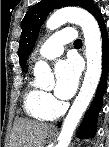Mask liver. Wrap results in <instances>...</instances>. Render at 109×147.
Returning a JSON list of instances; mask_svg holds the SVG:
<instances>
[{
  "label": "liver",
  "mask_w": 109,
  "mask_h": 147,
  "mask_svg": "<svg viewBox=\"0 0 109 147\" xmlns=\"http://www.w3.org/2000/svg\"><path fill=\"white\" fill-rule=\"evenodd\" d=\"M50 125L41 122L17 119L14 122L9 147H42Z\"/></svg>",
  "instance_id": "6515ba94"
}]
</instances>
